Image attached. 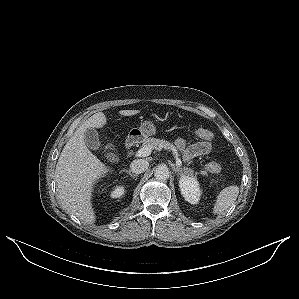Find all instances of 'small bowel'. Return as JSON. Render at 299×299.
I'll use <instances>...</instances> for the list:
<instances>
[{
  "mask_svg": "<svg viewBox=\"0 0 299 299\" xmlns=\"http://www.w3.org/2000/svg\"><path fill=\"white\" fill-rule=\"evenodd\" d=\"M175 145L186 161L201 155H206L210 153L212 149V146L208 141H199L191 145H186V142L182 138H178L175 141Z\"/></svg>",
  "mask_w": 299,
  "mask_h": 299,
  "instance_id": "obj_1",
  "label": "small bowel"
}]
</instances>
